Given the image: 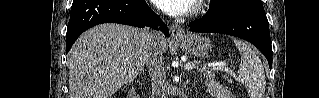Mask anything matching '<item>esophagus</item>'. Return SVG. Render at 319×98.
Masks as SVG:
<instances>
[{
    "mask_svg": "<svg viewBox=\"0 0 319 98\" xmlns=\"http://www.w3.org/2000/svg\"><path fill=\"white\" fill-rule=\"evenodd\" d=\"M170 34L174 40H181L185 37V31L182 27L177 24L170 26Z\"/></svg>",
    "mask_w": 319,
    "mask_h": 98,
    "instance_id": "esophagus-1",
    "label": "esophagus"
}]
</instances>
